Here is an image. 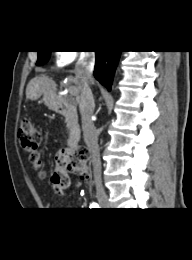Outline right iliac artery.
Here are the masks:
<instances>
[{"mask_svg": "<svg viewBox=\"0 0 192 260\" xmlns=\"http://www.w3.org/2000/svg\"><path fill=\"white\" fill-rule=\"evenodd\" d=\"M90 208L92 209H98L99 208V205L97 203H91L90 204Z\"/></svg>", "mask_w": 192, "mask_h": 260, "instance_id": "1", "label": "right iliac artery"}]
</instances>
